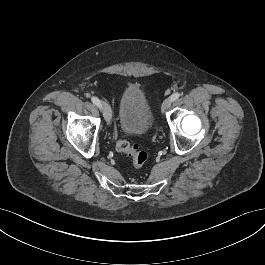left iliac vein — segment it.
Listing matches in <instances>:
<instances>
[{
    "label": "left iliac vein",
    "instance_id": "obj_1",
    "mask_svg": "<svg viewBox=\"0 0 265 265\" xmlns=\"http://www.w3.org/2000/svg\"><path fill=\"white\" fill-rule=\"evenodd\" d=\"M171 103H172L171 98L165 99L161 106L162 112H165L166 110H168Z\"/></svg>",
    "mask_w": 265,
    "mask_h": 265
}]
</instances>
